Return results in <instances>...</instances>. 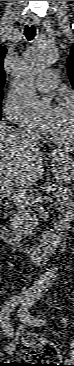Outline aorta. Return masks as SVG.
<instances>
[{
    "instance_id": "obj_1",
    "label": "aorta",
    "mask_w": 74,
    "mask_h": 366,
    "mask_svg": "<svg viewBox=\"0 0 74 366\" xmlns=\"http://www.w3.org/2000/svg\"><path fill=\"white\" fill-rule=\"evenodd\" d=\"M57 59L56 46L37 41L23 54L18 63L13 87L17 94L38 112L47 101L37 94L35 80L43 70L53 66Z\"/></svg>"
}]
</instances>
